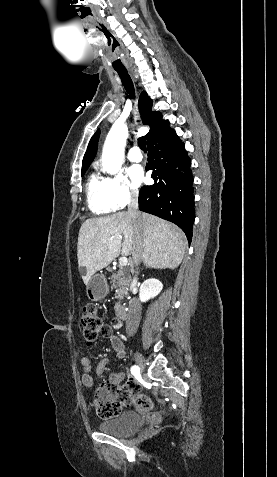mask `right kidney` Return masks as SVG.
<instances>
[{
    "mask_svg": "<svg viewBox=\"0 0 277 477\" xmlns=\"http://www.w3.org/2000/svg\"><path fill=\"white\" fill-rule=\"evenodd\" d=\"M163 284L155 278L145 280L139 289V298L141 302H146L156 297L162 290Z\"/></svg>",
    "mask_w": 277,
    "mask_h": 477,
    "instance_id": "right-kidney-1",
    "label": "right kidney"
}]
</instances>
